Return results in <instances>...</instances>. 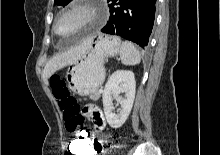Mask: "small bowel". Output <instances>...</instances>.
<instances>
[{"mask_svg": "<svg viewBox=\"0 0 220 155\" xmlns=\"http://www.w3.org/2000/svg\"><path fill=\"white\" fill-rule=\"evenodd\" d=\"M83 113H85L87 119L91 120L97 132L103 129L105 120L102 112L98 108V105H84ZM94 140L95 139L92 138V144L94 143ZM94 153L95 150L92 145L91 155Z\"/></svg>", "mask_w": 220, "mask_h": 155, "instance_id": "small-bowel-1", "label": "small bowel"}]
</instances>
